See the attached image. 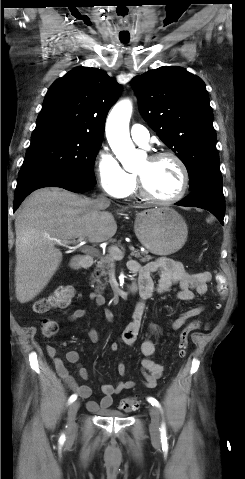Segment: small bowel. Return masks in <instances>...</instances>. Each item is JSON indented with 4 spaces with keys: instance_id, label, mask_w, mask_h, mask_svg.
I'll return each mask as SVG.
<instances>
[{
    "instance_id": "c3829d8e",
    "label": "small bowel",
    "mask_w": 245,
    "mask_h": 479,
    "mask_svg": "<svg viewBox=\"0 0 245 479\" xmlns=\"http://www.w3.org/2000/svg\"><path fill=\"white\" fill-rule=\"evenodd\" d=\"M128 267L130 271L138 274L137 283L140 299L136 303L131 320L122 331L119 341L111 343L110 349L112 351H117L120 343L128 346H132L136 343L143 325L147 300L168 292L174 286H178L179 289L175 294V298L179 301L191 302L195 299L196 295L204 296L208 293L209 282L211 281L210 272H188L179 261L164 257L149 261L143 265L138 261L132 260L129 262ZM155 275L157 276L156 279L154 277ZM89 297L97 306H103L106 303L105 296L99 292H93ZM203 311V306H197L181 313L173 321L172 328L174 330L182 328L189 320L200 315ZM85 314L86 310L84 308L75 309L70 315V321H76L85 316ZM106 315L108 319H111V313L109 311L106 312ZM150 330L152 334L158 333V328L155 325H151ZM89 335L92 341L96 342L99 340V336L94 330H91ZM46 351L53 361L56 373L67 386L81 398L85 399L90 397V387L76 383L75 379L65 367L62 359L58 357L57 348L48 345ZM140 351L144 356L141 361L142 384L146 388H154L157 385V381L162 377L165 366L152 359L156 348L151 339H146L140 344ZM66 360L70 363H77L79 361V353L75 350L68 351L66 353ZM117 371L120 376L126 375V366L123 362L118 363ZM78 373L82 379L86 380L89 377L87 369L82 366L78 367ZM135 386L136 382L133 380L120 381L116 384L104 383L101 386L103 396L100 401H89L87 408L93 412L108 409L112 405L113 397L116 394L133 389Z\"/></svg>"
}]
</instances>
